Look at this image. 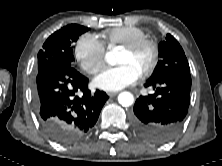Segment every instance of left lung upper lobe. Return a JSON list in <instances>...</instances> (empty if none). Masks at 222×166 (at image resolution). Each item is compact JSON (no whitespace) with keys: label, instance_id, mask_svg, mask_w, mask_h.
Wrapping results in <instances>:
<instances>
[{"label":"left lung upper lobe","instance_id":"obj_1","mask_svg":"<svg viewBox=\"0 0 222 166\" xmlns=\"http://www.w3.org/2000/svg\"><path fill=\"white\" fill-rule=\"evenodd\" d=\"M160 60L150 79H158L170 74L190 72L189 64L185 53L178 41L170 34H167L159 46Z\"/></svg>","mask_w":222,"mask_h":166}]
</instances>
